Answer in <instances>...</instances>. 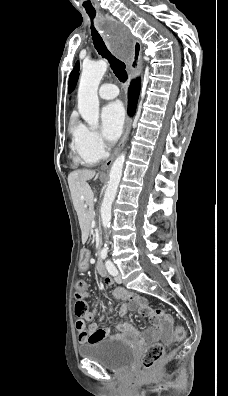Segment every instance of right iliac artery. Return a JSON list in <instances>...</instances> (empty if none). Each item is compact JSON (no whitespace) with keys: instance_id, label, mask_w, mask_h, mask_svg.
I'll list each match as a JSON object with an SVG mask.
<instances>
[{"instance_id":"obj_1","label":"right iliac artery","mask_w":228,"mask_h":396,"mask_svg":"<svg viewBox=\"0 0 228 396\" xmlns=\"http://www.w3.org/2000/svg\"><path fill=\"white\" fill-rule=\"evenodd\" d=\"M106 257H107V251L104 250L101 252V258L105 259Z\"/></svg>"}]
</instances>
